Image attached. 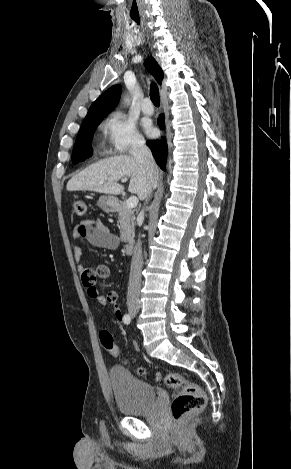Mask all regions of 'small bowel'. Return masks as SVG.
I'll use <instances>...</instances> for the list:
<instances>
[{
  "mask_svg": "<svg viewBox=\"0 0 291 469\" xmlns=\"http://www.w3.org/2000/svg\"><path fill=\"white\" fill-rule=\"evenodd\" d=\"M73 239L79 241L87 240L92 246L104 249H115L119 244L118 237L101 221L84 220L78 223L73 230ZM73 255L77 263V269L81 273V279L91 298L100 296L105 301V306H114L116 320L123 321V314L117 306L118 294L116 291H109L102 295L97 288L98 279H106L110 276V269L105 264H99L93 268H87L81 264L82 249L78 244L73 246Z\"/></svg>",
  "mask_w": 291,
  "mask_h": 469,
  "instance_id": "small-bowel-1",
  "label": "small bowel"
}]
</instances>
